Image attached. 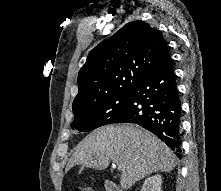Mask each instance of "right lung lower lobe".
<instances>
[{
    "label": "right lung lower lobe",
    "instance_id": "right-lung-lower-lobe-1",
    "mask_svg": "<svg viewBox=\"0 0 221 191\" xmlns=\"http://www.w3.org/2000/svg\"><path fill=\"white\" fill-rule=\"evenodd\" d=\"M132 93L128 110L116 123L138 124L180 153L181 102L170 54L133 88Z\"/></svg>",
    "mask_w": 221,
    "mask_h": 191
}]
</instances>
